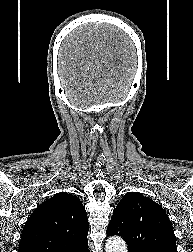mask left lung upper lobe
<instances>
[{"mask_svg": "<svg viewBox=\"0 0 193 252\" xmlns=\"http://www.w3.org/2000/svg\"><path fill=\"white\" fill-rule=\"evenodd\" d=\"M106 234L123 237L128 252H177L173 226L165 210L138 192L123 196Z\"/></svg>", "mask_w": 193, "mask_h": 252, "instance_id": "1", "label": "left lung upper lobe"}]
</instances>
